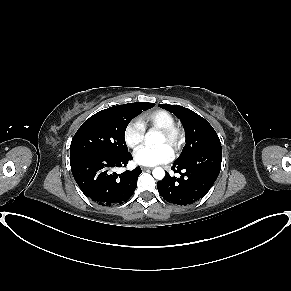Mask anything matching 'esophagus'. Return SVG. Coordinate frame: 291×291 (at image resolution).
I'll return each instance as SVG.
<instances>
[{
	"mask_svg": "<svg viewBox=\"0 0 291 291\" xmlns=\"http://www.w3.org/2000/svg\"><path fill=\"white\" fill-rule=\"evenodd\" d=\"M152 167H142V170L147 171V170H151Z\"/></svg>",
	"mask_w": 291,
	"mask_h": 291,
	"instance_id": "obj_1",
	"label": "esophagus"
}]
</instances>
